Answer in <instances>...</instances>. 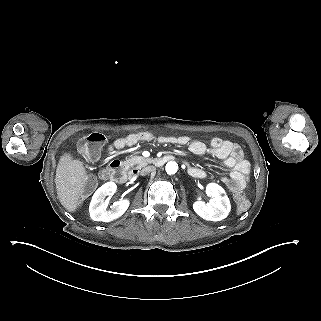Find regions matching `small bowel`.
Wrapping results in <instances>:
<instances>
[{"label":"small bowel","mask_w":321,"mask_h":321,"mask_svg":"<svg viewBox=\"0 0 321 321\" xmlns=\"http://www.w3.org/2000/svg\"><path fill=\"white\" fill-rule=\"evenodd\" d=\"M152 138L153 136L149 132L130 134L116 139L109 147V151L112 152L142 141H150ZM158 142L163 144L188 145L189 150L193 154H208L222 160L224 166L231 170L229 176L222 179L228 188L236 193L241 192L246 187L250 173V163L244 158L239 145L218 137L212 138L208 143H204L197 140L191 141L187 136H161L158 138ZM189 172L196 178L206 177V172L198 167L190 166ZM233 183L236 184V187L232 186Z\"/></svg>","instance_id":"obj_1"}]
</instances>
